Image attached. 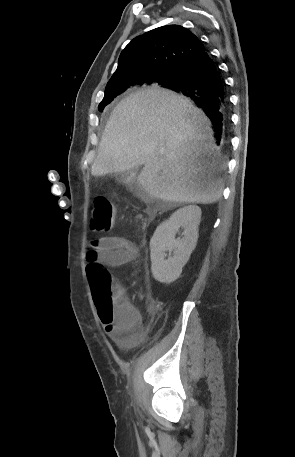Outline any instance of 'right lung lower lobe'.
<instances>
[{
  "instance_id": "1",
  "label": "right lung lower lobe",
  "mask_w": 295,
  "mask_h": 457,
  "mask_svg": "<svg viewBox=\"0 0 295 457\" xmlns=\"http://www.w3.org/2000/svg\"><path fill=\"white\" fill-rule=\"evenodd\" d=\"M163 87L191 98L204 110L216 129L215 137L220 145L228 123L229 100L224 80L211 56L206 51L199 54Z\"/></svg>"
}]
</instances>
